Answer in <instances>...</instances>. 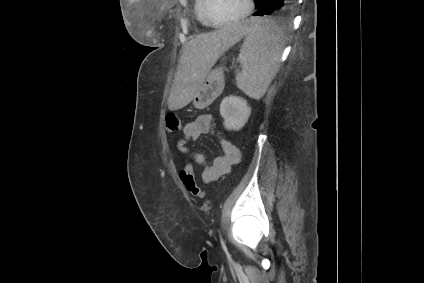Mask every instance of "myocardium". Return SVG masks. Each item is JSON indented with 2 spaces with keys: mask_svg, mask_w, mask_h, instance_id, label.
Masks as SVG:
<instances>
[{
  "mask_svg": "<svg viewBox=\"0 0 424 283\" xmlns=\"http://www.w3.org/2000/svg\"><path fill=\"white\" fill-rule=\"evenodd\" d=\"M246 4H247L246 9L240 16L225 22H215L210 16L211 0H204V9H203L204 19L206 23L212 27H223V26L232 25L234 23L244 20L253 11L254 0H246Z\"/></svg>",
  "mask_w": 424,
  "mask_h": 283,
  "instance_id": "obj_1",
  "label": "myocardium"
}]
</instances>
